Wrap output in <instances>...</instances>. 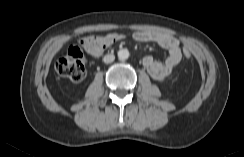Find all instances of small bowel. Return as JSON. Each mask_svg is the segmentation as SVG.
I'll return each mask as SVG.
<instances>
[{
	"mask_svg": "<svg viewBox=\"0 0 244 157\" xmlns=\"http://www.w3.org/2000/svg\"><path fill=\"white\" fill-rule=\"evenodd\" d=\"M119 40L123 39L122 34H118ZM137 42H151L159 45L168 51V57L164 61L155 60L152 56H145L143 64L151 77L157 81L166 80L182 59V49L179 41L171 35L155 31H138L132 35ZM79 43L92 56H100L106 48H98L92 45V36L80 39Z\"/></svg>",
	"mask_w": 244,
	"mask_h": 157,
	"instance_id": "c3829d8e",
	"label": "small bowel"
}]
</instances>
